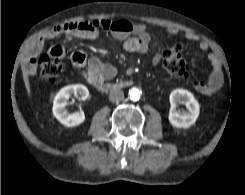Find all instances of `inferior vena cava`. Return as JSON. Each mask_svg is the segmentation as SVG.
<instances>
[{"mask_svg":"<svg viewBox=\"0 0 245 195\" xmlns=\"http://www.w3.org/2000/svg\"><path fill=\"white\" fill-rule=\"evenodd\" d=\"M124 99V93L121 90L115 89L112 90L109 94V100L111 102H119Z\"/></svg>","mask_w":245,"mask_h":195,"instance_id":"1","label":"inferior vena cava"}]
</instances>
